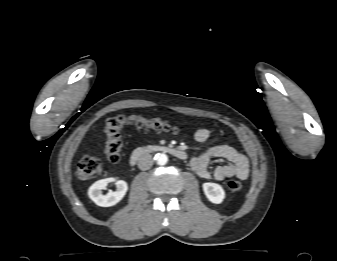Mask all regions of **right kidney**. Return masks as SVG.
<instances>
[{
    "instance_id": "1",
    "label": "right kidney",
    "mask_w": 337,
    "mask_h": 261,
    "mask_svg": "<svg viewBox=\"0 0 337 261\" xmlns=\"http://www.w3.org/2000/svg\"><path fill=\"white\" fill-rule=\"evenodd\" d=\"M115 181L114 178L101 179L92 184L88 190L89 198L98 206L110 207L117 204L125 196L128 185L125 181H116V191H110L103 195L101 190L105 189L108 183Z\"/></svg>"
}]
</instances>
